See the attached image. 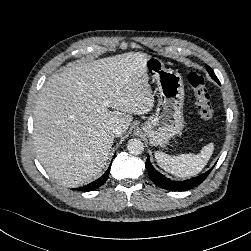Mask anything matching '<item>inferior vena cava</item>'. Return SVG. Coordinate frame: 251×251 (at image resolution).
<instances>
[{
    "instance_id": "602c4592",
    "label": "inferior vena cava",
    "mask_w": 251,
    "mask_h": 251,
    "mask_svg": "<svg viewBox=\"0 0 251 251\" xmlns=\"http://www.w3.org/2000/svg\"><path fill=\"white\" fill-rule=\"evenodd\" d=\"M122 133H123V130H122V128H121L120 126H118V125H113V126L111 127V134H112V136L118 137V136H120Z\"/></svg>"
}]
</instances>
